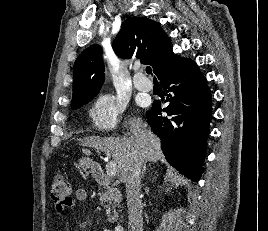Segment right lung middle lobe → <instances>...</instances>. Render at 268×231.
I'll list each match as a JSON object with an SVG mask.
<instances>
[{"instance_id": "obj_1", "label": "right lung middle lobe", "mask_w": 268, "mask_h": 231, "mask_svg": "<svg viewBox=\"0 0 268 231\" xmlns=\"http://www.w3.org/2000/svg\"><path fill=\"white\" fill-rule=\"evenodd\" d=\"M92 99H88V100H84V101H80L78 103H75L73 105H71V108L72 109H78L80 108L81 106L85 105L86 103H88L89 101H91Z\"/></svg>"}]
</instances>
